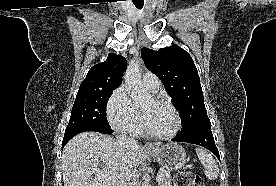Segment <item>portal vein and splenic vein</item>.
<instances>
[{"instance_id":"1","label":"portal vein and splenic vein","mask_w":276,"mask_h":186,"mask_svg":"<svg viewBox=\"0 0 276 186\" xmlns=\"http://www.w3.org/2000/svg\"><path fill=\"white\" fill-rule=\"evenodd\" d=\"M162 179V174H157L156 180L157 182H160V180Z\"/></svg>"}]
</instances>
